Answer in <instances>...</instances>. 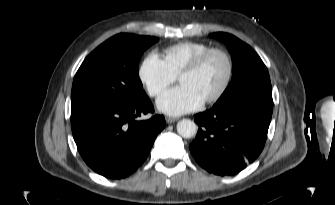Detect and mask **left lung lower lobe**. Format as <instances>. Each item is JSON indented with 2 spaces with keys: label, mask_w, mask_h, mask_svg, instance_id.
<instances>
[{
  "label": "left lung lower lobe",
  "mask_w": 335,
  "mask_h": 205,
  "mask_svg": "<svg viewBox=\"0 0 335 205\" xmlns=\"http://www.w3.org/2000/svg\"><path fill=\"white\" fill-rule=\"evenodd\" d=\"M273 106L236 100L195 116L200 126L189 149L198 164L216 175H234L264 148Z\"/></svg>",
  "instance_id": "0a47b994"
}]
</instances>
